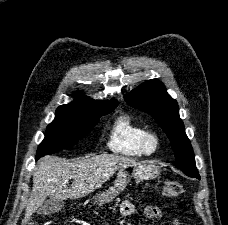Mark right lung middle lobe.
I'll return each mask as SVG.
<instances>
[{"mask_svg":"<svg viewBox=\"0 0 228 225\" xmlns=\"http://www.w3.org/2000/svg\"><path fill=\"white\" fill-rule=\"evenodd\" d=\"M110 107H91L67 104L57 108L54 121L47 127L45 139L37 149V157L56 153L73 146L97 124L99 117L114 110Z\"/></svg>","mask_w":228,"mask_h":225,"instance_id":"1","label":"right lung middle lobe"}]
</instances>
